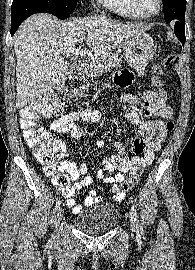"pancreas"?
I'll use <instances>...</instances> for the list:
<instances>
[{"instance_id":"obj_1","label":"pancreas","mask_w":195,"mask_h":270,"mask_svg":"<svg viewBox=\"0 0 195 270\" xmlns=\"http://www.w3.org/2000/svg\"><path fill=\"white\" fill-rule=\"evenodd\" d=\"M120 61L121 59L117 54L110 52L101 53L90 60L88 70L97 77L112 67H120Z\"/></svg>"}]
</instances>
